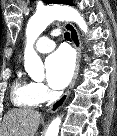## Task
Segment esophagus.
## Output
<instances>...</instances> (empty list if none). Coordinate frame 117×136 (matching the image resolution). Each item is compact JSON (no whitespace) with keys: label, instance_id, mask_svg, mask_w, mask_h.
<instances>
[{"label":"esophagus","instance_id":"34e87169","mask_svg":"<svg viewBox=\"0 0 117 136\" xmlns=\"http://www.w3.org/2000/svg\"><path fill=\"white\" fill-rule=\"evenodd\" d=\"M63 26L70 33L73 45H74L76 52H77L76 66H75V71H74V74H73V77H72V80L69 84L68 89L55 103H53L49 107V109H48L49 113L56 112L67 100L72 88L74 87L75 81L77 79L80 61H81V41H80V36H79L77 29L75 28V26L73 24H71L69 22H64Z\"/></svg>","mask_w":117,"mask_h":136}]
</instances>
